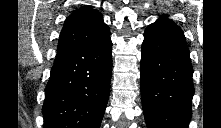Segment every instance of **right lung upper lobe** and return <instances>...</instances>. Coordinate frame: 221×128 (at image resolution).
<instances>
[{
    "instance_id": "obj_1",
    "label": "right lung upper lobe",
    "mask_w": 221,
    "mask_h": 128,
    "mask_svg": "<svg viewBox=\"0 0 221 128\" xmlns=\"http://www.w3.org/2000/svg\"><path fill=\"white\" fill-rule=\"evenodd\" d=\"M110 35L102 15L89 7L74 11L65 21L57 50L96 45Z\"/></svg>"
}]
</instances>
